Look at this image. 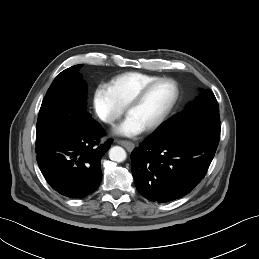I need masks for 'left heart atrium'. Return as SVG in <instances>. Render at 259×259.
<instances>
[{
  "label": "left heart atrium",
  "mask_w": 259,
  "mask_h": 259,
  "mask_svg": "<svg viewBox=\"0 0 259 259\" xmlns=\"http://www.w3.org/2000/svg\"><path fill=\"white\" fill-rule=\"evenodd\" d=\"M144 127L140 125L133 117L127 116L116 128L115 132L123 136H136L144 131Z\"/></svg>",
  "instance_id": "39dd6f15"
}]
</instances>
